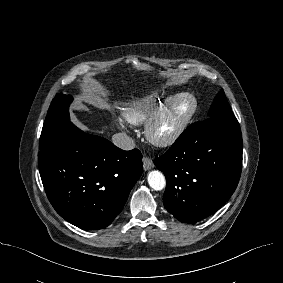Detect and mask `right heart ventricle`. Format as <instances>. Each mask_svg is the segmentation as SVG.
Returning a JSON list of instances; mask_svg holds the SVG:
<instances>
[{"label": "right heart ventricle", "instance_id": "e07e8e85", "mask_svg": "<svg viewBox=\"0 0 283 283\" xmlns=\"http://www.w3.org/2000/svg\"><path fill=\"white\" fill-rule=\"evenodd\" d=\"M160 99L161 96L155 92L147 93L127 103L123 108V116L131 124H143L158 106Z\"/></svg>", "mask_w": 283, "mask_h": 283}]
</instances>
